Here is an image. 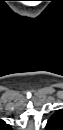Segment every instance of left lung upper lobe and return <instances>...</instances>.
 I'll return each mask as SVG.
<instances>
[{"instance_id": "1", "label": "left lung upper lobe", "mask_w": 63, "mask_h": 130, "mask_svg": "<svg viewBox=\"0 0 63 130\" xmlns=\"http://www.w3.org/2000/svg\"><path fill=\"white\" fill-rule=\"evenodd\" d=\"M63 127V111H56L48 120L46 130H62Z\"/></svg>"}]
</instances>
